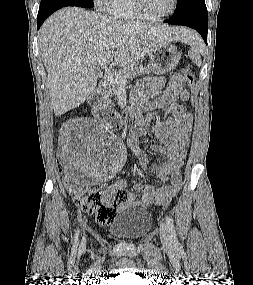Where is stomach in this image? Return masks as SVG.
I'll use <instances>...</instances> for the list:
<instances>
[{"label": "stomach", "instance_id": "0dacf381", "mask_svg": "<svg viewBox=\"0 0 253 285\" xmlns=\"http://www.w3.org/2000/svg\"><path fill=\"white\" fill-rule=\"evenodd\" d=\"M149 69L155 74H163L174 70L181 59L177 47L170 42L159 43L148 53Z\"/></svg>", "mask_w": 253, "mask_h": 285}]
</instances>
